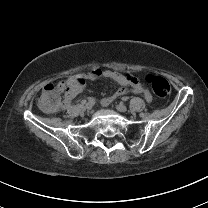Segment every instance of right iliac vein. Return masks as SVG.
Returning <instances> with one entry per match:
<instances>
[{
    "mask_svg": "<svg viewBox=\"0 0 208 208\" xmlns=\"http://www.w3.org/2000/svg\"><path fill=\"white\" fill-rule=\"evenodd\" d=\"M93 103H91V102H88L87 104H86V110L89 112V111H91L92 110V108H93Z\"/></svg>",
    "mask_w": 208,
    "mask_h": 208,
    "instance_id": "right-iliac-vein-1",
    "label": "right iliac vein"
}]
</instances>
